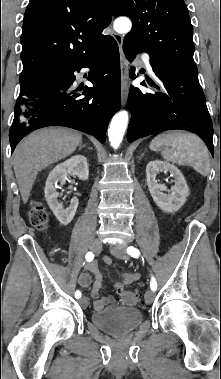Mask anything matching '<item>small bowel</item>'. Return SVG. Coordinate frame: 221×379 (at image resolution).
<instances>
[{
  "mask_svg": "<svg viewBox=\"0 0 221 379\" xmlns=\"http://www.w3.org/2000/svg\"><path fill=\"white\" fill-rule=\"evenodd\" d=\"M105 263L110 265L111 260L109 258L105 259ZM88 272L94 274L95 281L91 289V297L95 300L94 309L101 310L105 306L114 302V297L112 295L101 296L100 291L103 285V274L99 271L98 266L95 262H91L85 265ZM140 275L138 273L123 272L121 275V281L114 284V289L117 293L121 294L124 291L125 286L132 284L138 280ZM79 284L86 288L91 284V276L89 273L85 272L79 276Z\"/></svg>",
  "mask_w": 221,
  "mask_h": 379,
  "instance_id": "obj_1",
  "label": "small bowel"
}]
</instances>
